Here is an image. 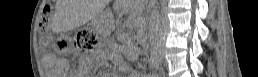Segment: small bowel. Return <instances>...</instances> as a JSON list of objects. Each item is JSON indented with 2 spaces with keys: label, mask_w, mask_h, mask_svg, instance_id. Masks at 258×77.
Returning <instances> with one entry per match:
<instances>
[{
  "label": "small bowel",
  "mask_w": 258,
  "mask_h": 77,
  "mask_svg": "<svg viewBox=\"0 0 258 77\" xmlns=\"http://www.w3.org/2000/svg\"><path fill=\"white\" fill-rule=\"evenodd\" d=\"M44 47L48 48L49 47V41H44ZM132 54H134V52H132ZM47 59H49V56H46ZM54 64L56 66V69L58 70H64L66 69V62L63 59L60 58H55L54 59ZM56 73H63L64 71H55Z\"/></svg>",
  "instance_id": "small-bowel-1"
}]
</instances>
